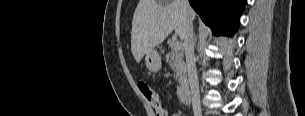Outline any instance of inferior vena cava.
Masks as SVG:
<instances>
[{
	"label": "inferior vena cava",
	"instance_id": "1",
	"mask_svg": "<svg viewBox=\"0 0 305 116\" xmlns=\"http://www.w3.org/2000/svg\"><path fill=\"white\" fill-rule=\"evenodd\" d=\"M182 6L184 9V14L186 16L184 49L186 56L188 80H189L191 96H192V107H193L194 115L199 116L201 113L200 93H199V84H198V77H197V71L195 65L193 23H192V19L188 16V11L190 9L188 0H182Z\"/></svg>",
	"mask_w": 305,
	"mask_h": 116
}]
</instances>
